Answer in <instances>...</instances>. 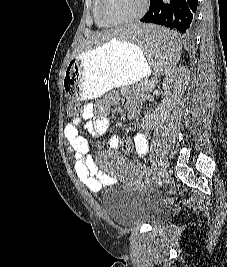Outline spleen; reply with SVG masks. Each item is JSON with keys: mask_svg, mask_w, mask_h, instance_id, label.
Segmentation results:
<instances>
[{"mask_svg": "<svg viewBox=\"0 0 227 267\" xmlns=\"http://www.w3.org/2000/svg\"><path fill=\"white\" fill-rule=\"evenodd\" d=\"M119 41L135 43L141 47L147 63H151L152 77H171L181 54V43L170 30L159 27V23L125 22L117 25Z\"/></svg>", "mask_w": 227, "mask_h": 267, "instance_id": "obj_1", "label": "spleen"}]
</instances>
